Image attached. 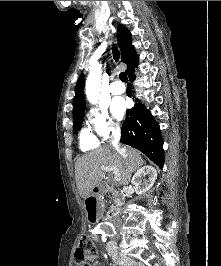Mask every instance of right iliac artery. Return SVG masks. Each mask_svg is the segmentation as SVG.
Returning <instances> with one entry per match:
<instances>
[{"label":"right iliac artery","instance_id":"right-iliac-artery-1","mask_svg":"<svg viewBox=\"0 0 221 266\" xmlns=\"http://www.w3.org/2000/svg\"><path fill=\"white\" fill-rule=\"evenodd\" d=\"M93 233L94 234H103V233H101V230H95V231H93Z\"/></svg>","mask_w":221,"mask_h":266}]
</instances>
